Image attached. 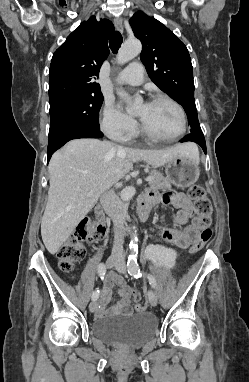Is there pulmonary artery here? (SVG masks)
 Listing matches in <instances>:
<instances>
[{"instance_id":"e3ab8cb5","label":"pulmonary artery","mask_w":249,"mask_h":382,"mask_svg":"<svg viewBox=\"0 0 249 382\" xmlns=\"http://www.w3.org/2000/svg\"><path fill=\"white\" fill-rule=\"evenodd\" d=\"M144 79V67L139 62L130 63L118 76V83L128 85H139Z\"/></svg>"}]
</instances>
